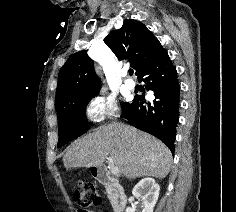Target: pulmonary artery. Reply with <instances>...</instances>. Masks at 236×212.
I'll use <instances>...</instances> for the list:
<instances>
[{
    "instance_id": "1",
    "label": "pulmonary artery",
    "mask_w": 236,
    "mask_h": 212,
    "mask_svg": "<svg viewBox=\"0 0 236 212\" xmlns=\"http://www.w3.org/2000/svg\"><path fill=\"white\" fill-rule=\"evenodd\" d=\"M124 85H125L128 89H133V88L135 87V82H134L132 79H125Z\"/></svg>"
}]
</instances>
